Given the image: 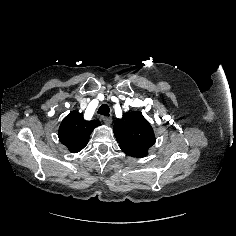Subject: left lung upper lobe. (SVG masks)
<instances>
[{
	"instance_id": "obj_1",
	"label": "left lung upper lobe",
	"mask_w": 236,
	"mask_h": 236,
	"mask_svg": "<svg viewBox=\"0 0 236 236\" xmlns=\"http://www.w3.org/2000/svg\"><path fill=\"white\" fill-rule=\"evenodd\" d=\"M113 131L123 152L147 153L156 141L150 123L138 111L126 112L117 119Z\"/></svg>"
}]
</instances>
